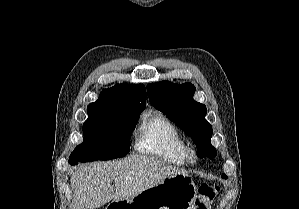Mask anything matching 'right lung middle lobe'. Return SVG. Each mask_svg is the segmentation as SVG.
I'll use <instances>...</instances> for the list:
<instances>
[{
  "label": "right lung middle lobe",
  "instance_id": "dd1d6c3e",
  "mask_svg": "<svg viewBox=\"0 0 299 209\" xmlns=\"http://www.w3.org/2000/svg\"><path fill=\"white\" fill-rule=\"evenodd\" d=\"M139 114L88 112L83 124L84 141L71 153L69 163L111 160L128 154Z\"/></svg>",
  "mask_w": 299,
  "mask_h": 209
}]
</instances>
